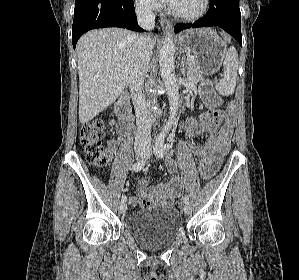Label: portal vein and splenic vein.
Returning a JSON list of instances; mask_svg holds the SVG:
<instances>
[{"label": "portal vein and splenic vein", "instance_id": "obj_1", "mask_svg": "<svg viewBox=\"0 0 299 280\" xmlns=\"http://www.w3.org/2000/svg\"><path fill=\"white\" fill-rule=\"evenodd\" d=\"M194 58L192 56L187 57V61H192Z\"/></svg>", "mask_w": 299, "mask_h": 280}]
</instances>
